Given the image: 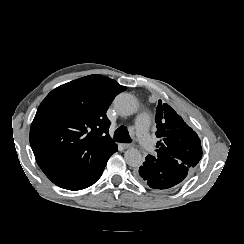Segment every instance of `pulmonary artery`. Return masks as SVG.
<instances>
[{
  "label": "pulmonary artery",
  "mask_w": 244,
  "mask_h": 244,
  "mask_svg": "<svg viewBox=\"0 0 244 244\" xmlns=\"http://www.w3.org/2000/svg\"><path fill=\"white\" fill-rule=\"evenodd\" d=\"M149 124V113L147 111H140L138 113V120L136 126L137 144L143 149H150L152 147V139L147 134Z\"/></svg>",
  "instance_id": "obj_1"
}]
</instances>
